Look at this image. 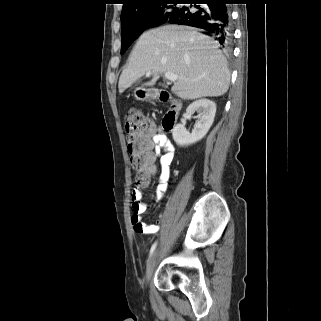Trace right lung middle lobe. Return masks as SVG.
<instances>
[{
	"instance_id": "right-lung-middle-lobe-1",
	"label": "right lung middle lobe",
	"mask_w": 321,
	"mask_h": 321,
	"mask_svg": "<svg viewBox=\"0 0 321 321\" xmlns=\"http://www.w3.org/2000/svg\"><path fill=\"white\" fill-rule=\"evenodd\" d=\"M184 0H160L128 16L121 18V54L149 27L167 22L169 17L179 10L177 6Z\"/></svg>"
}]
</instances>
